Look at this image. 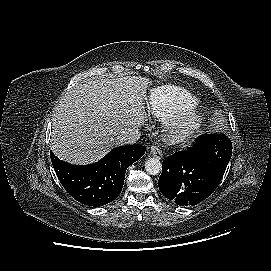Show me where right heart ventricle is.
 Instances as JSON below:
<instances>
[{
	"label": "right heart ventricle",
	"mask_w": 271,
	"mask_h": 271,
	"mask_svg": "<svg viewBox=\"0 0 271 271\" xmlns=\"http://www.w3.org/2000/svg\"><path fill=\"white\" fill-rule=\"evenodd\" d=\"M199 101L190 91L175 85L159 86L150 91L147 102L149 119L164 122L172 115L195 109Z\"/></svg>",
	"instance_id": "right-heart-ventricle-1"
}]
</instances>
